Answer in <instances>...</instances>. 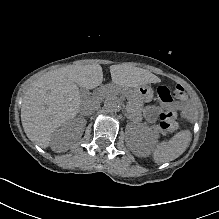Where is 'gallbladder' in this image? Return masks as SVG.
<instances>
[{"instance_id": "bac80fb5", "label": "gallbladder", "mask_w": 219, "mask_h": 219, "mask_svg": "<svg viewBox=\"0 0 219 219\" xmlns=\"http://www.w3.org/2000/svg\"><path fill=\"white\" fill-rule=\"evenodd\" d=\"M81 92V94H83L84 96H86L88 93H87V91H80Z\"/></svg>"}]
</instances>
